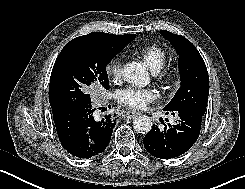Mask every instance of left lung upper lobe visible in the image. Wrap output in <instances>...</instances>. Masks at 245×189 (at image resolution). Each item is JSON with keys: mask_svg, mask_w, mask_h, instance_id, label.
<instances>
[{"mask_svg": "<svg viewBox=\"0 0 245 189\" xmlns=\"http://www.w3.org/2000/svg\"><path fill=\"white\" fill-rule=\"evenodd\" d=\"M160 33L171 42L179 55L181 78L180 88L164 110L194 109L204 115L209 95V77L201 55L185 37L166 30Z\"/></svg>", "mask_w": 245, "mask_h": 189, "instance_id": "1", "label": "left lung upper lobe"}]
</instances>
